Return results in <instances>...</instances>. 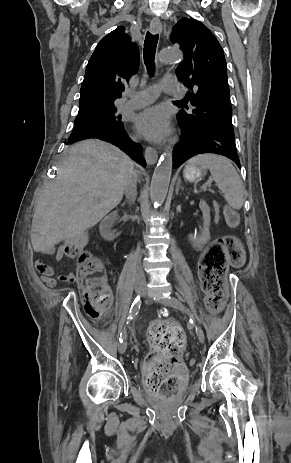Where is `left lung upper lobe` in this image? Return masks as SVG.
Here are the masks:
<instances>
[{
    "label": "left lung upper lobe",
    "mask_w": 291,
    "mask_h": 463,
    "mask_svg": "<svg viewBox=\"0 0 291 463\" xmlns=\"http://www.w3.org/2000/svg\"><path fill=\"white\" fill-rule=\"evenodd\" d=\"M170 39L184 52L176 74L189 88L186 98L196 107L192 114H178L190 122L234 131L227 66L218 40L193 18L178 21Z\"/></svg>",
    "instance_id": "5c2ea615"
}]
</instances>
